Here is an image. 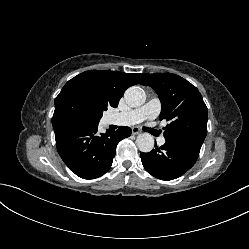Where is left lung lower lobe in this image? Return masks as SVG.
<instances>
[{
  "instance_id": "0a47b994",
  "label": "left lung lower lobe",
  "mask_w": 249,
  "mask_h": 249,
  "mask_svg": "<svg viewBox=\"0 0 249 249\" xmlns=\"http://www.w3.org/2000/svg\"><path fill=\"white\" fill-rule=\"evenodd\" d=\"M202 144L190 139H170L149 153H141L144 168L161 180L182 176L196 162Z\"/></svg>"
}]
</instances>
